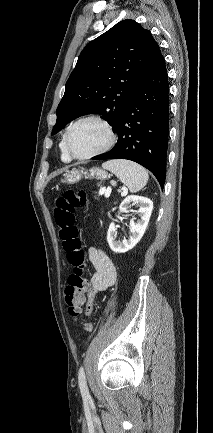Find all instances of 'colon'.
<instances>
[{
	"label": "colon",
	"mask_w": 213,
	"mask_h": 433,
	"mask_svg": "<svg viewBox=\"0 0 213 433\" xmlns=\"http://www.w3.org/2000/svg\"><path fill=\"white\" fill-rule=\"evenodd\" d=\"M88 197L85 191L66 190L57 198L54 208L55 222L59 228V238L69 263L74 267L73 273L68 277L65 287V304L69 315L76 319L86 306V295L89 289V280L86 277L85 253L78 228L75 226V211L86 206ZM84 330L92 331L93 324L84 322Z\"/></svg>",
	"instance_id": "5ec220e1"
}]
</instances>
